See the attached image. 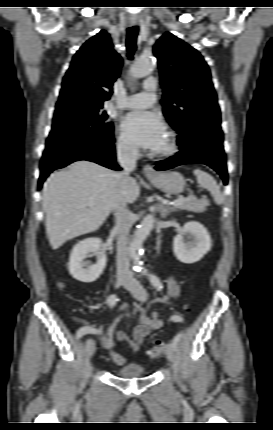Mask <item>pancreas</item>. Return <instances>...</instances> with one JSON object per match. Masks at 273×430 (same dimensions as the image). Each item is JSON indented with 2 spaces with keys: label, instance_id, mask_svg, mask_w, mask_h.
Segmentation results:
<instances>
[{
  "label": "pancreas",
  "instance_id": "cf45deb5",
  "mask_svg": "<svg viewBox=\"0 0 273 430\" xmlns=\"http://www.w3.org/2000/svg\"><path fill=\"white\" fill-rule=\"evenodd\" d=\"M208 205V201L205 199L198 200L197 198H188L184 199L183 202L179 205H176L171 210H187L194 213H202L206 210V206Z\"/></svg>",
  "mask_w": 273,
  "mask_h": 430
}]
</instances>
